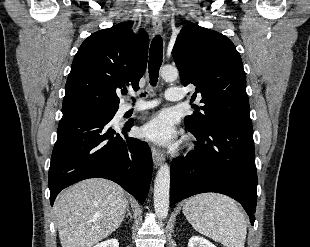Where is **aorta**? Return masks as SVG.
I'll list each match as a JSON object with an SVG mask.
<instances>
[{
	"mask_svg": "<svg viewBox=\"0 0 310 247\" xmlns=\"http://www.w3.org/2000/svg\"><path fill=\"white\" fill-rule=\"evenodd\" d=\"M161 77L166 81H175L178 70L172 66H164L160 70ZM170 203V167L162 164L154 181V209L158 218H166Z\"/></svg>",
	"mask_w": 310,
	"mask_h": 247,
	"instance_id": "1",
	"label": "aorta"
}]
</instances>
